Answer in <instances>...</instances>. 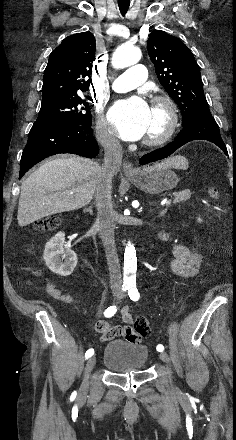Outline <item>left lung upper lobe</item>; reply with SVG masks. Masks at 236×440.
<instances>
[{"instance_id":"1","label":"left lung upper lobe","mask_w":236,"mask_h":440,"mask_svg":"<svg viewBox=\"0 0 236 440\" xmlns=\"http://www.w3.org/2000/svg\"><path fill=\"white\" fill-rule=\"evenodd\" d=\"M147 49L159 82L181 110L182 126L198 114L210 111L199 66L179 38L155 30L149 36Z\"/></svg>"}]
</instances>
